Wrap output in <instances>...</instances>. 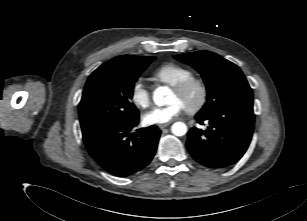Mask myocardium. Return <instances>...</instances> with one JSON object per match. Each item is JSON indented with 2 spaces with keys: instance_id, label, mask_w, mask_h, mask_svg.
<instances>
[{
  "instance_id": "f54148a6",
  "label": "myocardium",
  "mask_w": 307,
  "mask_h": 221,
  "mask_svg": "<svg viewBox=\"0 0 307 221\" xmlns=\"http://www.w3.org/2000/svg\"><path fill=\"white\" fill-rule=\"evenodd\" d=\"M194 88L198 91V99L196 103L184 107L186 112L191 115H195L202 111L207 104L209 89L206 82L201 78L191 76L172 86V90L179 94H185Z\"/></svg>"
}]
</instances>
